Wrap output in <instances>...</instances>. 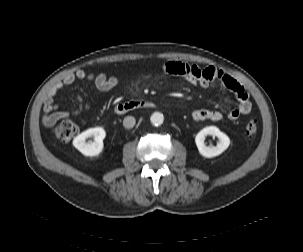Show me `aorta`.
<instances>
[{"label": "aorta", "instance_id": "762f6f07", "mask_svg": "<svg viewBox=\"0 0 303 252\" xmlns=\"http://www.w3.org/2000/svg\"><path fill=\"white\" fill-rule=\"evenodd\" d=\"M151 123L155 126H159L163 123L164 121V117H163V114L159 113V112H154L152 115H151Z\"/></svg>", "mask_w": 303, "mask_h": 252}]
</instances>
